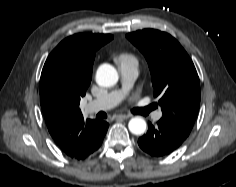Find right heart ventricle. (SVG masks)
Here are the masks:
<instances>
[{"label":"right heart ventricle","mask_w":236,"mask_h":187,"mask_svg":"<svg viewBox=\"0 0 236 187\" xmlns=\"http://www.w3.org/2000/svg\"><path fill=\"white\" fill-rule=\"evenodd\" d=\"M116 61L119 64V66L124 65V64H133V65L137 66V64H138L137 58L130 53L120 54L116 58Z\"/></svg>","instance_id":"obj_1"}]
</instances>
